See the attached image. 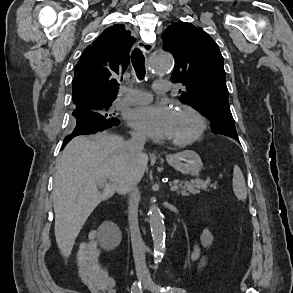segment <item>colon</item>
I'll return each mask as SVG.
<instances>
[{"label":"colon","mask_w":293,"mask_h":293,"mask_svg":"<svg viewBox=\"0 0 293 293\" xmlns=\"http://www.w3.org/2000/svg\"><path fill=\"white\" fill-rule=\"evenodd\" d=\"M99 250L93 236L89 235L80 247L79 275L92 293H110V280L98 261Z\"/></svg>","instance_id":"obj_1"}]
</instances>
